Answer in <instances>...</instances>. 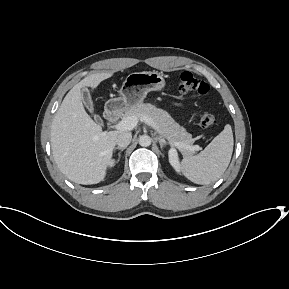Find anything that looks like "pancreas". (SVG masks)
<instances>
[{"label":"pancreas","instance_id":"1","mask_svg":"<svg viewBox=\"0 0 289 289\" xmlns=\"http://www.w3.org/2000/svg\"><path fill=\"white\" fill-rule=\"evenodd\" d=\"M124 116H135L140 121L145 116L151 118L158 126L159 133L171 144L192 145L194 142L192 135L186 132L183 126L175 122L168 112L150 103H140L126 110Z\"/></svg>","mask_w":289,"mask_h":289}]
</instances>
